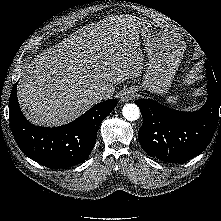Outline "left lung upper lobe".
Here are the masks:
<instances>
[{
	"label": "left lung upper lobe",
	"mask_w": 221,
	"mask_h": 221,
	"mask_svg": "<svg viewBox=\"0 0 221 221\" xmlns=\"http://www.w3.org/2000/svg\"><path fill=\"white\" fill-rule=\"evenodd\" d=\"M205 63H206L205 65H207V64L209 65L208 61H206ZM209 66H210V65H209Z\"/></svg>",
	"instance_id": "obj_1"
}]
</instances>
